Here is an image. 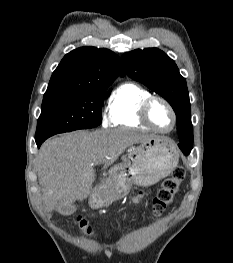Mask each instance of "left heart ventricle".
Segmentation results:
<instances>
[{
  "mask_svg": "<svg viewBox=\"0 0 233 263\" xmlns=\"http://www.w3.org/2000/svg\"><path fill=\"white\" fill-rule=\"evenodd\" d=\"M149 115L153 124L161 130H168L172 125L171 113L160 101H156L152 104Z\"/></svg>",
  "mask_w": 233,
  "mask_h": 263,
  "instance_id": "b2bd125f",
  "label": "left heart ventricle"
}]
</instances>
